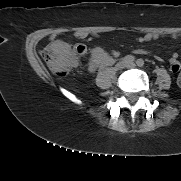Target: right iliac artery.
I'll return each instance as SVG.
<instances>
[{"label":"right iliac artery","instance_id":"1","mask_svg":"<svg viewBox=\"0 0 181 181\" xmlns=\"http://www.w3.org/2000/svg\"><path fill=\"white\" fill-rule=\"evenodd\" d=\"M125 63H132L135 60V57L132 55H127L122 59Z\"/></svg>","mask_w":181,"mask_h":181}]
</instances>
